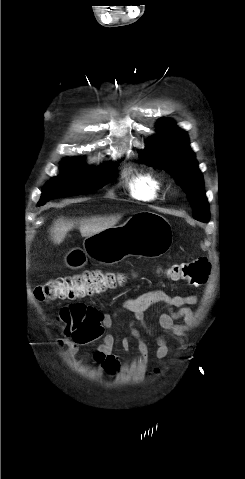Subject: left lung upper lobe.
<instances>
[{"instance_id": "left-lung-upper-lobe-1", "label": "left lung upper lobe", "mask_w": 245, "mask_h": 479, "mask_svg": "<svg viewBox=\"0 0 245 479\" xmlns=\"http://www.w3.org/2000/svg\"><path fill=\"white\" fill-rule=\"evenodd\" d=\"M159 132L160 135L154 137L147 149L141 152L140 160L146 165L167 170L186 192L193 217L208 222L210 213L203 177L186 133L166 119L159 123Z\"/></svg>"}]
</instances>
